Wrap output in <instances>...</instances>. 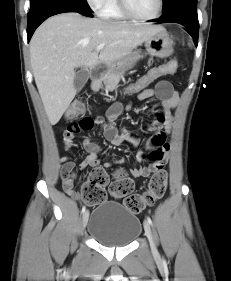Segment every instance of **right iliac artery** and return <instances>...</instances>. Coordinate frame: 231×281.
Segmentation results:
<instances>
[{
	"label": "right iliac artery",
	"instance_id": "82829eb1",
	"mask_svg": "<svg viewBox=\"0 0 231 281\" xmlns=\"http://www.w3.org/2000/svg\"><path fill=\"white\" fill-rule=\"evenodd\" d=\"M85 210H86V207H85V206H83V208H82V213H84V212H85Z\"/></svg>",
	"mask_w": 231,
	"mask_h": 281
}]
</instances>
